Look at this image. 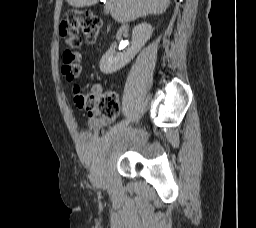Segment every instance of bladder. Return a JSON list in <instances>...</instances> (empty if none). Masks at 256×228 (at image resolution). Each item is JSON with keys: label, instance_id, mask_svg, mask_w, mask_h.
<instances>
[{"label": "bladder", "instance_id": "1", "mask_svg": "<svg viewBox=\"0 0 256 228\" xmlns=\"http://www.w3.org/2000/svg\"><path fill=\"white\" fill-rule=\"evenodd\" d=\"M83 152L96 174H102L122 154L138 148L142 142L138 135L112 129L100 137H86Z\"/></svg>", "mask_w": 256, "mask_h": 228}]
</instances>
